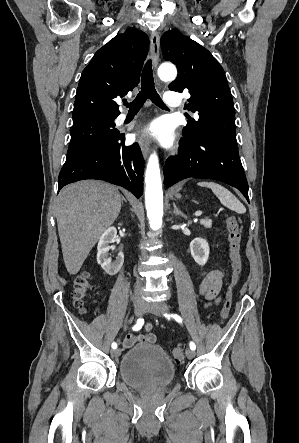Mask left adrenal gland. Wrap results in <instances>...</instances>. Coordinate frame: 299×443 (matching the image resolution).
Segmentation results:
<instances>
[{
  "instance_id": "1",
  "label": "left adrenal gland",
  "mask_w": 299,
  "mask_h": 443,
  "mask_svg": "<svg viewBox=\"0 0 299 443\" xmlns=\"http://www.w3.org/2000/svg\"><path fill=\"white\" fill-rule=\"evenodd\" d=\"M173 207H174V215H176V216L179 215L184 218H187L186 215L179 208H177L175 203H173Z\"/></svg>"
}]
</instances>
